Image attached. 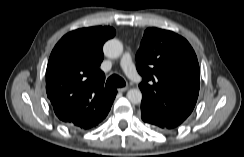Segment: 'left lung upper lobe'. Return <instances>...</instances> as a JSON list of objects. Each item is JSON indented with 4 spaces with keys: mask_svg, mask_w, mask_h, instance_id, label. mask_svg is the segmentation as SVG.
I'll list each match as a JSON object with an SVG mask.
<instances>
[{
    "mask_svg": "<svg viewBox=\"0 0 244 157\" xmlns=\"http://www.w3.org/2000/svg\"><path fill=\"white\" fill-rule=\"evenodd\" d=\"M136 67L143 77L142 103L170 128L179 126L193 111L199 94V64L191 45L174 32L148 28Z\"/></svg>",
    "mask_w": 244,
    "mask_h": 157,
    "instance_id": "obj_1",
    "label": "left lung upper lobe"
}]
</instances>
